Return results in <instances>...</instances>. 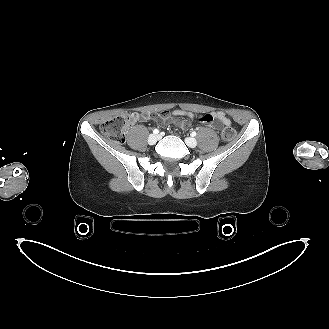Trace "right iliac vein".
<instances>
[{
	"label": "right iliac vein",
	"instance_id": "obj_1",
	"mask_svg": "<svg viewBox=\"0 0 329 329\" xmlns=\"http://www.w3.org/2000/svg\"><path fill=\"white\" fill-rule=\"evenodd\" d=\"M160 139V136L159 135H150L149 137H148V144H150V145H153V144H155L158 140Z\"/></svg>",
	"mask_w": 329,
	"mask_h": 329
}]
</instances>
